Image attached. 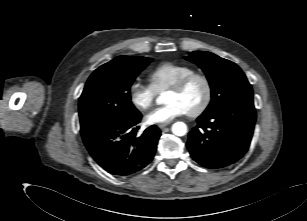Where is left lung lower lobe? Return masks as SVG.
I'll return each mask as SVG.
<instances>
[{
  "label": "left lung lower lobe",
  "instance_id": "obj_1",
  "mask_svg": "<svg viewBox=\"0 0 307 221\" xmlns=\"http://www.w3.org/2000/svg\"><path fill=\"white\" fill-rule=\"evenodd\" d=\"M256 112L253 102H234L215 111L204 112L189 133L191 157L209 169L227 167L248 150Z\"/></svg>",
  "mask_w": 307,
  "mask_h": 221
}]
</instances>
